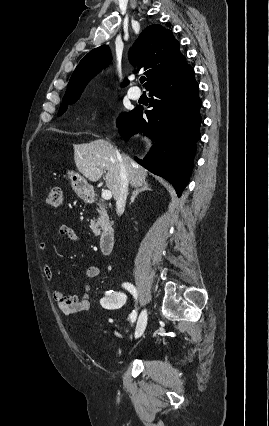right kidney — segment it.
<instances>
[{
  "mask_svg": "<svg viewBox=\"0 0 269 426\" xmlns=\"http://www.w3.org/2000/svg\"><path fill=\"white\" fill-rule=\"evenodd\" d=\"M127 300L128 297L125 292H121L116 296H106L100 300V308L102 311H121L126 305Z\"/></svg>",
  "mask_w": 269,
  "mask_h": 426,
  "instance_id": "ca27d5eb",
  "label": "right kidney"
}]
</instances>
